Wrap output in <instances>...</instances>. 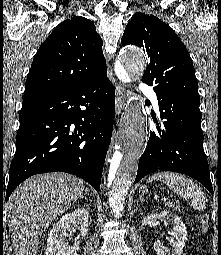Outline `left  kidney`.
<instances>
[{
    "instance_id": "1",
    "label": "left kidney",
    "mask_w": 221,
    "mask_h": 255,
    "mask_svg": "<svg viewBox=\"0 0 221 255\" xmlns=\"http://www.w3.org/2000/svg\"><path fill=\"white\" fill-rule=\"evenodd\" d=\"M156 219L172 225L170 229L172 238L170 239L171 248L164 246L160 240H157L154 242V250L158 255H182L183 248L187 241V230L183 221L177 215L169 211H162L159 214H148L143 218L142 224L148 225Z\"/></svg>"
}]
</instances>
